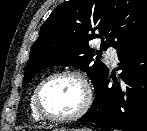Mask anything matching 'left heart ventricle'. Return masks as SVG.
<instances>
[{
    "label": "left heart ventricle",
    "mask_w": 147,
    "mask_h": 131,
    "mask_svg": "<svg viewBox=\"0 0 147 131\" xmlns=\"http://www.w3.org/2000/svg\"><path fill=\"white\" fill-rule=\"evenodd\" d=\"M42 104L54 115L76 112L85 101V90L75 77L62 76L51 80L43 89Z\"/></svg>",
    "instance_id": "1"
}]
</instances>
